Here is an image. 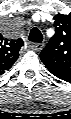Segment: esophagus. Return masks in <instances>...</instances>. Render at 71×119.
Wrapping results in <instances>:
<instances>
[{
    "mask_svg": "<svg viewBox=\"0 0 71 119\" xmlns=\"http://www.w3.org/2000/svg\"><path fill=\"white\" fill-rule=\"evenodd\" d=\"M43 47H44V43H33V44L31 45V49H32L33 51H36V52L41 51V50L43 49Z\"/></svg>",
    "mask_w": 71,
    "mask_h": 119,
    "instance_id": "34e87169",
    "label": "esophagus"
}]
</instances>
